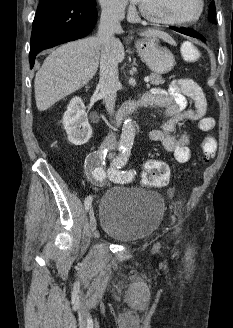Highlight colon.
<instances>
[{
    "label": "colon",
    "instance_id": "colon-1",
    "mask_svg": "<svg viewBox=\"0 0 233 328\" xmlns=\"http://www.w3.org/2000/svg\"><path fill=\"white\" fill-rule=\"evenodd\" d=\"M182 54L188 61H197L200 57L198 49L191 43H186L182 47ZM216 141L213 137L208 136L202 143V152L204 159L208 161L216 151ZM170 177V171L168 166L158 160L147 161L144 165V171L142 174V184L149 187H163L165 186Z\"/></svg>",
    "mask_w": 233,
    "mask_h": 328
}]
</instances>
